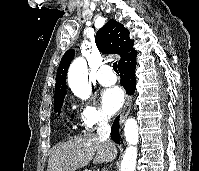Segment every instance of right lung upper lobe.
Segmentation results:
<instances>
[{
  "label": "right lung upper lobe",
  "mask_w": 199,
  "mask_h": 171,
  "mask_svg": "<svg viewBox=\"0 0 199 171\" xmlns=\"http://www.w3.org/2000/svg\"><path fill=\"white\" fill-rule=\"evenodd\" d=\"M95 42L102 53L120 55L118 66L137 56V51L133 48L134 41L129 37V31L114 19H110L97 31ZM73 58V49L68 50L62 57L57 70L54 102L64 99L66 95V75Z\"/></svg>",
  "instance_id": "right-lung-upper-lobe-1"
}]
</instances>
